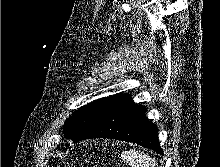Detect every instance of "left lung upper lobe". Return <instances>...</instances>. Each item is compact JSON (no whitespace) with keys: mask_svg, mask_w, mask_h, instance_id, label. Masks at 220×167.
Segmentation results:
<instances>
[{"mask_svg":"<svg viewBox=\"0 0 220 167\" xmlns=\"http://www.w3.org/2000/svg\"><path fill=\"white\" fill-rule=\"evenodd\" d=\"M117 96L113 95L95 100L74 112L64 125L63 133L65 138L72 141L80 139Z\"/></svg>","mask_w":220,"mask_h":167,"instance_id":"obj_1","label":"left lung upper lobe"}]
</instances>
